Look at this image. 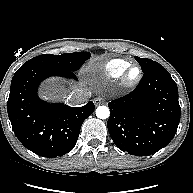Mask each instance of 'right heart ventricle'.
Here are the masks:
<instances>
[{"instance_id": "obj_1", "label": "right heart ventricle", "mask_w": 193, "mask_h": 193, "mask_svg": "<svg viewBox=\"0 0 193 193\" xmlns=\"http://www.w3.org/2000/svg\"><path fill=\"white\" fill-rule=\"evenodd\" d=\"M130 65V62L124 59H112L107 61L99 69V74L101 77L106 79H116L119 78L126 68Z\"/></svg>"}]
</instances>
